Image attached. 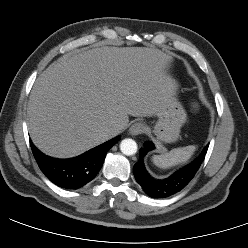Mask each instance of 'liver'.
<instances>
[{
  "mask_svg": "<svg viewBox=\"0 0 248 248\" xmlns=\"http://www.w3.org/2000/svg\"><path fill=\"white\" fill-rule=\"evenodd\" d=\"M170 56L155 48L101 47L67 53L37 78L28 103L33 143L58 158L79 155L157 115L173 93Z\"/></svg>",
  "mask_w": 248,
  "mask_h": 248,
  "instance_id": "liver-1",
  "label": "liver"
}]
</instances>
